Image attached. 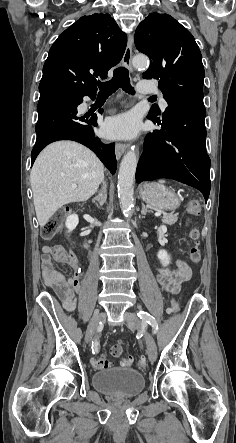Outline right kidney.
I'll return each mask as SVG.
<instances>
[{
  "instance_id": "ca27d5eb",
  "label": "right kidney",
  "mask_w": 236,
  "mask_h": 443,
  "mask_svg": "<svg viewBox=\"0 0 236 443\" xmlns=\"http://www.w3.org/2000/svg\"><path fill=\"white\" fill-rule=\"evenodd\" d=\"M79 223V219L78 216L76 214H72L70 216H68V218L66 219V227L68 229V232L73 231L76 226Z\"/></svg>"
}]
</instances>
